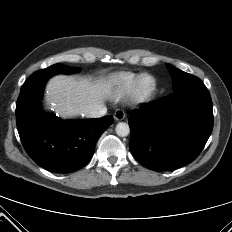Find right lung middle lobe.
I'll use <instances>...</instances> for the list:
<instances>
[{"mask_svg": "<svg viewBox=\"0 0 232 232\" xmlns=\"http://www.w3.org/2000/svg\"><path fill=\"white\" fill-rule=\"evenodd\" d=\"M78 70L79 68H72V67H68L63 64L57 63L46 69L38 70L35 73H33L23 84L22 88H26L28 86H31L33 84H36L42 81H47L50 77H52L55 74H59V73L69 74L72 72H76Z\"/></svg>", "mask_w": 232, "mask_h": 232, "instance_id": "obj_1", "label": "right lung middle lobe"}]
</instances>
